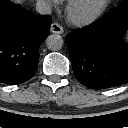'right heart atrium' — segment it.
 I'll return each mask as SVG.
<instances>
[{"instance_id":"obj_1","label":"right heart atrium","mask_w":128,"mask_h":128,"mask_svg":"<svg viewBox=\"0 0 128 128\" xmlns=\"http://www.w3.org/2000/svg\"><path fill=\"white\" fill-rule=\"evenodd\" d=\"M44 4L50 7H55L59 4L60 0H41Z\"/></svg>"}]
</instances>
